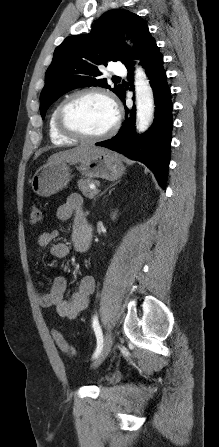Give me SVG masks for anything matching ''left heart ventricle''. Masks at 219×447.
<instances>
[{
	"instance_id": "left-heart-ventricle-1",
	"label": "left heart ventricle",
	"mask_w": 219,
	"mask_h": 447,
	"mask_svg": "<svg viewBox=\"0 0 219 447\" xmlns=\"http://www.w3.org/2000/svg\"><path fill=\"white\" fill-rule=\"evenodd\" d=\"M114 117L110 103L97 95L77 99L66 114L69 125L90 135L105 132L112 125Z\"/></svg>"
}]
</instances>
